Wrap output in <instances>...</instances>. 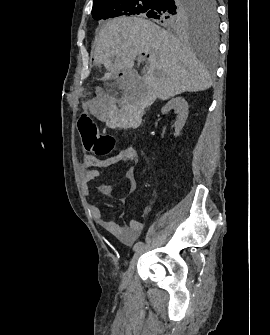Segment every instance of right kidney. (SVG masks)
<instances>
[{
    "label": "right kidney",
    "instance_id": "right-kidney-1",
    "mask_svg": "<svg viewBox=\"0 0 270 335\" xmlns=\"http://www.w3.org/2000/svg\"><path fill=\"white\" fill-rule=\"evenodd\" d=\"M170 110H175V114H177L175 126V134L174 136H179L183 126L186 124V120L188 118V104L184 98H172L164 108H162V114H167Z\"/></svg>",
    "mask_w": 270,
    "mask_h": 335
}]
</instances>
